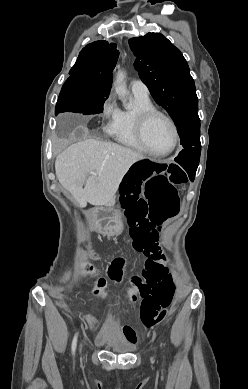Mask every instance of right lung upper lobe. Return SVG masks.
<instances>
[{
	"mask_svg": "<svg viewBox=\"0 0 248 389\" xmlns=\"http://www.w3.org/2000/svg\"><path fill=\"white\" fill-rule=\"evenodd\" d=\"M118 57L116 44L95 41L82 49L69 74L84 77L86 84L92 87L111 89L112 71Z\"/></svg>",
	"mask_w": 248,
	"mask_h": 389,
	"instance_id": "obj_1",
	"label": "right lung upper lobe"
}]
</instances>
